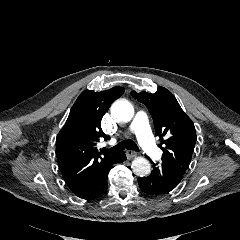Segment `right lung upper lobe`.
I'll use <instances>...</instances> for the list:
<instances>
[{
	"mask_svg": "<svg viewBox=\"0 0 240 240\" xmlns=\"http://www.w3.org/2000/svg\"><path fill=\"white\" fill-rule=\"evenodd\" d=\"M125 89L113 87L102 92L86 90L71 108L56 139V156L63 178L72 192L80 190L115 155H100L96 145L109 139L101 129V119L111 103Z\"/></svg>",
	"mask_w": 240,
	"mask_h": 240,
	"instance_id": "1",
	"label": "right lung upper lobe"
}]
</instances>
